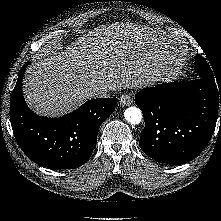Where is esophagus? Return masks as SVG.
Wrapping results in <instances>:
<instances>
[{
	"label": "esophagus",
	"mask_w": 221,
	"mask_h": 221,
	"mask_svg": "<svg viewBox=\"0 0 221 221\" xmlns=\"http://www.w3.org/2000/svg\"><path fill=\"white\" fill-rule=\"evenodd\" d=\"M119 102L123 106H129L132 103V98H131L130 94L125 93V94L121 95Z\"/></svg>",
	"instance_id": "esophagus-1"
}]
</instances>
